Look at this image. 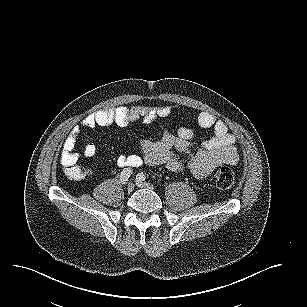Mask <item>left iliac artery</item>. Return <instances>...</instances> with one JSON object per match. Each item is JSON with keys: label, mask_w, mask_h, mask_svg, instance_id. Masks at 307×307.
I'll use <instances>...</instances> for the list:
<instances>
[{"label": "left iliac artery", "mask_w": 307, "mask_h": 307, "mask_svg": "<svg viewBox=\"0 0 307 307\" xmlns=\"http://www.w3.org/2000/svg\"><path fill=\"white\" fill-rule=\"evenodd\" d=\"M137 181H144L146 179L143 173H138L136 176Z\"/></svg>", "instance_id": "1"}]
</instances>
